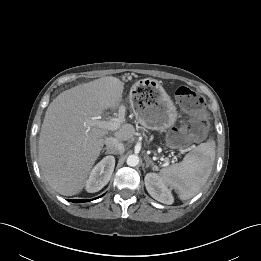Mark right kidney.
Instances as JSON below:
<instances>
[{
	"label": "right kidney",
	"instance_id": "right-kidney-1",
	"mask_svg": "<svg viewBox=\"0 0 261 261\" xmlns=\"http://www.w3.org/2000/svg\"><path fill=\"white\" fill-rule=\"evenodd\" d=\"M115 167L113 156L104 157L91 171L86 181V191L95 193L101 190L110 180Z\"/></svg>",
	"mask_w": 261,
	"mask_h": 261
}]
</instances>
